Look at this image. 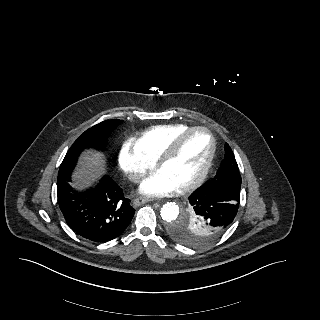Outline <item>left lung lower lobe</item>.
Listing matches in <instances>:
<instances>
[{"mask_svg": "<svg viewBox=\"0 0 320 320\" xmlns=\"http://www.w3.org/2000/svg\"><path fill=\"white\" fill-rule=\"evenodd\" d=\"M189 202L209 227L207 236L214 239L221 236L235 218L240 204V191L206 183L190 195Z\"/></svg>", "mask_w": 320, "mask_h": 320, "instance_id": "left-lung-lower-lobe-1", "label": "left lung lower lobe"}]
</instances>
